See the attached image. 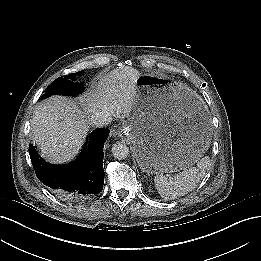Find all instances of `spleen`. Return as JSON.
<instances>
[{
    "instance_id": "3e777b00",
    "label": "spleen",
    "mask_w": 261,
    "mask_h": 261,
    "mask_svg": "<svg viewBox=\"0 0 261 261\" xmlns=\"http://www.w3.org/2000/svg\"><path fill=\"white\" fill-rule=\"evenodd\" d=\"M209 165L210 158L205 156L197 162L196 167L185 169L173 177L157 175L154 179L155 187L161 197L166 200L184 196L197 186Z\"/></svg>"
}]
</instances>
